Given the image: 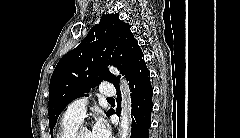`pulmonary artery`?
Masks as SVG:
<instances>
[{"instance_id": "1", "label": "pulmonary artery", "mask_w": 240, "mask_h": 138, "mask_svg": "<svg viewBox=\"0 0 240 138\" xmlns=\"http://www.w3.org/2000/svg\"><path fill=\"white\" fill-rule=\"evenodd\" d=\"M100 93L103 96L110 98L111 96L115 95V88L111 84L105 82L102 84L100 88ZM87 103H88L87 98H79L72 101L68 105L65 115L82 121L86 113Z\"/></svg>"}]
</instances>
